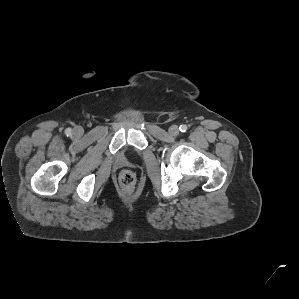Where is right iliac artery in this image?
I'll return each instance as SVG.
<instances>
[{
  "label": "right iliac artery",
  "instance_id": "82829eb1",
  "mask_svg": "<svg viewBox=\"0 0 299 299\" xmlns=\"http://www.w3.org/2000/svg\"><path fill=\"white\" fill-rule=\"evenodd\" d=\"M65 132H66V134H67V135H71V133H72V130H71L70 128H68V129H66V131H65Z\"/></svg>",
  "mask_w": 299,
  "mask_h": 299
}]
</instances>
